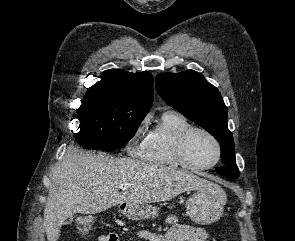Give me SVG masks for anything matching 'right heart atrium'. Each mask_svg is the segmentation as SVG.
Instances as JSON below:
<instances>
[{
    "instance_id": "d8ad5b80",
    "label": "right heart atrium",
    "mask_w": 295,
    "mask_h": 241,
    "mask_svg": "<svg viewBox=\"0 0 295 241\" xmlns=\"http://www.w3.org/2000/svg\"><path fill=\"white\" fill-rule=\"evenodd\" d=\"M148 122H149V115L144 116L138 122L129 145H131L133 141H135L137 138L141 137L145 133Z\"/></svg>"
}]
</instances>
